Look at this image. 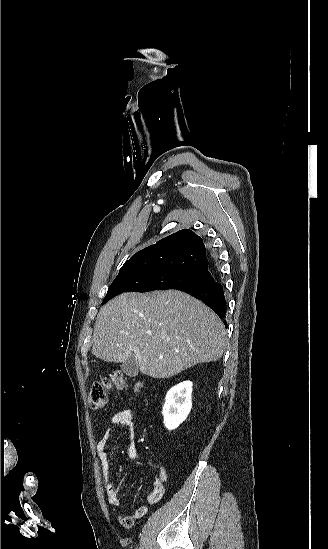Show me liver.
<instances>
[{"mask_svg": "<svg viewBox=\"0 0 328 549\" xmlns=\"http://www.w3.org/2000/svg\"><path fill=\"white\" fill-rule=\"evenodd\" d=\"M92 353L125 363L135 353L143 375L169 379L222 357L226 329L202 301L181 291L123 293L101 307Z\"/></svg>", "mask_w": 328, "mask_h": 549, "instance_id": "1", "label": "liver"}]
</instances>
